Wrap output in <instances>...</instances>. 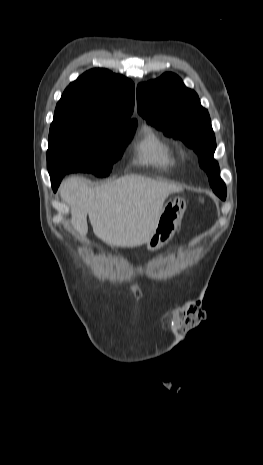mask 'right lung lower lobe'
<instances>
[{
    "label": "right lung lower lobe",
    "mask_w": 263,
    "mask_h": 465,
    "mask_svg": "<svg viewBox=\"0 0 263 465\" xmlns=\"http://www.w3.org/2000/svg\"><path fill=\"white\" fill-rule=\"evenodd\" d=\"M50 177H51L52 187L54 191H56L63 176H50Z\"/></svg>",
    "instance_id": "1"
}]
</instances>
